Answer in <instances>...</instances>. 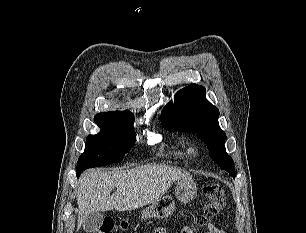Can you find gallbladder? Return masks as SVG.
Instances as JSON below:
<instances>
[{"label":"gallbladder","instance_id":"obj_1","mask_svg":"<svg viewBox=\"0 0 306 233\" xmlns=\"http://www.w3.org/2000/svg\"><path fill=\"white\" fill-rule=\"evenodd\" d=\"M103 219L104 217L101 212H92L84 219L83 229L87 233H93L100 228Z\"/></svg>","mask_w":306,"mask_h":233}]
</instances>
